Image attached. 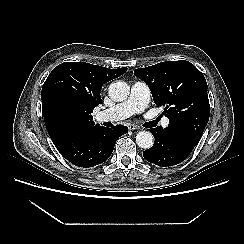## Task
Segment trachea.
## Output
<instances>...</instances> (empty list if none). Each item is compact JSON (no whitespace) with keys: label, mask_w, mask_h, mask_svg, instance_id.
<instances>
[{"label":"trachea","mask_w":244,"mask_h":244,"mask_svg":"<svg viewBox=\"0 0 244 244\" xmlns=\"http://www.w3.org/2000/svg\"><path fill=\"white\" fill-rule=\"evenodd\" d=\"M160 118L161 117H158L155 121L149 122L147 124H149V125H155L160 120Z\"/></svg>","instance_id":"trachea-1"}]
</instances>
